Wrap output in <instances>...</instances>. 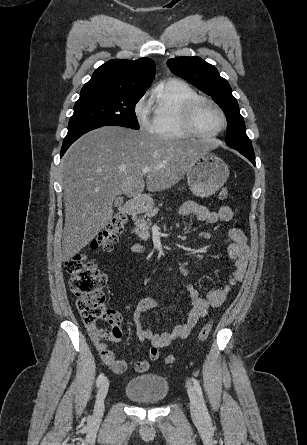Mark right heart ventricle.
<instances>
[{"instance_id":"e07e8e85","label":"right heart ventricle","mask_w":307,"mask_h":445,"mask_svg":"<svg viewBox=\"0 0 307 445\" xmlns=\"http://www.w3.org/2000/svg\"><path fill=\"white\" fill-rule=\"evenodd\" d=\"M196 96L189 85L179 81L160 83L154 89L146 107L153 113L151 130L160 136L159 140L191 139L183 108Z\"/></svg>"}]
</instances>
